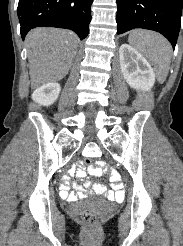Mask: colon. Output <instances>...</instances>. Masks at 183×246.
Masks as SVG:
<instances>
[{"label":"colon","mask_w":183,"mask_h":246,"mask_svg":"<svg viewBox=\"0 0 183 246\" xmlns=\"http://www.w3.org/2000/svg\"><path fill=\"white\" fill-rule=\"evenodd\" d=\"M93 162L94 157H83L82 159V165H87L88 167H92ZM79 217L81 221L89 227H95L99 220L98 214L90 209L81 211Z\"/></svg>","instance_id":"5ec220e1"}]
</instances>
